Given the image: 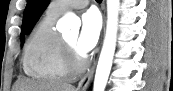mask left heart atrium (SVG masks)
<instances>
[{"mask_svg":"<svg viewBox=\"0 0 173 91\" xmlns=\"http://www.w3.org/2000/svg\"><path fill=\"white\" fill-rule=\"evenodd\" d=\"M101 29V21L94 9L86 11L82 15V25L76 47L81 55H87L96 46Z\"/></svg>","mask_w":173,"mask_h":91,"instance_id":"1","label":"left heart atrium"}]
</instances>
